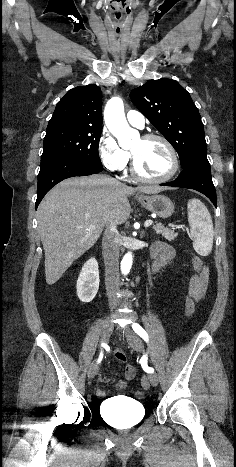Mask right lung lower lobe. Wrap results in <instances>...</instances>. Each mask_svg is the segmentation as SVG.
<instances>
[{
	"label": "right lung lower lobe",
	"mask_w": 236,
	"mask_h": 467,
	"mask_svg": "<svg viewBox=\"0 0 236 467\" xmlns=\"http://www.w3.org/2000/svg\"><path fill=\"white\" fill-rule=\"evenodd\" d=\"M102 170V166L71 157H60L41 163L38 174L36 209L45 194L60 181L74 176L96 174Z\"/></svg>",
	"instance_id": "1"
}]
</instances>
